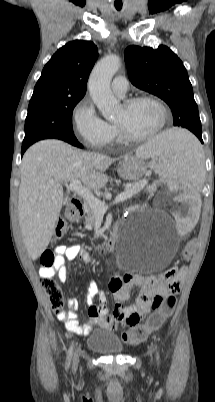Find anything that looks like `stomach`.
I'll list each match as a JSON object with an SVG mask.
<instances>
[{"mask_svg": "<svg viewBox=\"0 0 215 402\" xmlns=\"http://www.w3.org/2000/svg\"><path fill=\"white\" fill-rule=\"evenodd\" d=\"M145 170L143 160L139 155H127L118 167V174L124 180L137 181L143 176Z\"/></svg>", "mask_w": 215, "mask_h": 402, "instance_id": "stomach-1", "label": "stomach"}]
</instances>
